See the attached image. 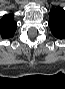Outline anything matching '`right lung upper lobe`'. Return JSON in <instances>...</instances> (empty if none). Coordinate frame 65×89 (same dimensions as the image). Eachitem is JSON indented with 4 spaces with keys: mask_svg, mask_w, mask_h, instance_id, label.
Segmentation results:
<instances>
[{
    "mask_svg": "<svg viewBox=\"0 0 65 89\" xmlns=\"http://www.w3.org/2000/svg\"><path fill=\"white\" fill-rule=\"evenodd\" d=\"M16 22L13 19V14L5 15L0 20V35L2 38H10L16 31Z\"/></svg>",
    "mask_w": 65,
    "mask_h": 89,
    "instance_id": "cb5924a9",
    "label": "right lung upper lobe"
}]
</instances>
